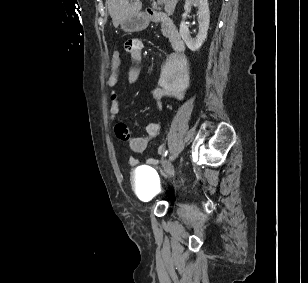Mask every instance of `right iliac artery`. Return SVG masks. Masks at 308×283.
I'll return each mask as SVG.
<instances>
[{
	"mask_svg": "<svg viewBox=\"0 0 308 283\" xmlns=\"http://www.w3.org/2000/svg\"><path fill=\"white\" fill-rule=\"evenodd\" d=\"M166 155H167V151H166L165 154H164V158L166 157Z\"/></svg>",
	"mask_w": 308,
	"mask_h": 283,
	"instance_id": "right-iliac-artery-1",
	"label": "right iliac artery"
}]
</instances>
